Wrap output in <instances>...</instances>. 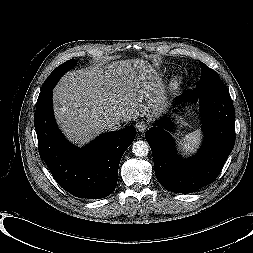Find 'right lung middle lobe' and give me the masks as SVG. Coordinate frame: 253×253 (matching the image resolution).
Wrapping results in <instances>:
<instances>
[{"label":"right lung middle lobe","instance_id":"dd1d6c3e","mask_svg":"<svg viewBox=\"0 0 253 253\" xmlns=\"http://www.w3.org/2000/svg\"><path fill=\"white\" fill-rule=\"evenodd\" d=\"M76 64L77 63L74 59H70L58 66L44 82L38 99H42L46 94H48L54 88L61 76L68 70L72 69Z\"/></svg>","mask_w":253,"mask_h":253}]
</instances>
